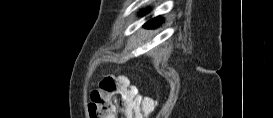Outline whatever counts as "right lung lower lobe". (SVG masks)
Returning a JSON list of instances; mask_svg holds the SVG:
<instances>
[{
  "instance_id": "98d812e1",
  "label": "right lung lower lobe",
  "mask_w": 273,
  "mask_h": 118,
  "mask_svg": "<svg viewBox=\"0 0 273 118\" xmlns=\"http://www.w3.org/2000/svg\"><path fill=\"white\" fill-rule=\"evenodd\" d=\"M148 11H144L142 12L141 14H144V13H147ZM162 19L160 17H156V18H153L151 20H149L148 22H146L145 26L146 27H157L159 25V22H161Z\"/></svg>"
}]
</instances>
